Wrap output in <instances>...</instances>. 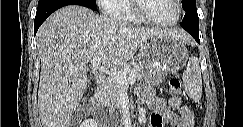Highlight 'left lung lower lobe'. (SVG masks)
Here are the masks:
<instances>
[{
	"label": "left lung lower lobe",
	"mask_w": 243,
	"mask_h": 127,
	"mask_svg": "<svg viewBox=\"0 0 243 127\" xmlns=\"http://www.w3.org/2000/svg\"><path fill=\"white\" fill-rule=\"evenodd\" d=\"M181 26L183 29H185L187 32H189L193 38L200 44L199 39V18L197 13H188L185 14Z\"/></svg>",
	"instance_id": "0a47b994"
}]
</instances>
